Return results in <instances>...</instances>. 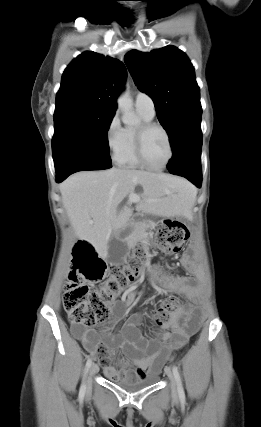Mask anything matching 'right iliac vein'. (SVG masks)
Listing matches in <instances>:
<instances>
[{"mask_svg":"<svg viewBox=\"0 0 261 427\" xmlns=\"http://www.w3.org/2000/svg\"><path fill=\"white\" fill-rule=\"evenodd\" d=\"M98 371V365L93 363L90 368V377L88 378V389H90L92 386V376H94Z\"/></svg>","mask_w":261,"mask_h":427,"instance_id":"63e3f726","label":"right iliac vein"}]
</instances>
